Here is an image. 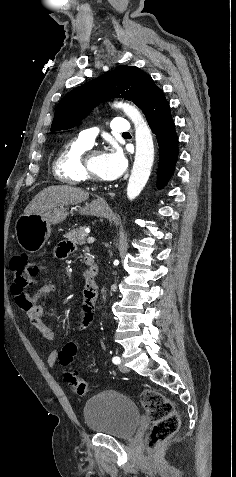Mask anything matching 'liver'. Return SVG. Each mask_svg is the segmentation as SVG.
Instances as JSON below:
<instances>
[{
  "mask_svg": "<svg viewBox=\"0 0 236 477\" xmlns=\"http://www.w3.org/2000/svg\"><path fill=\"white\" fill-rule=\"evenodd\" d=\"M89 198V193L80 188L62 185L49 186L39 192L24 210V214H44L57 207L79 204Z\"/></svg>",
  "mask_w": 236,
  "mask_h": 477,
  "instance_id": "liver-1",
  "label": "liver"
}]
</instances>
